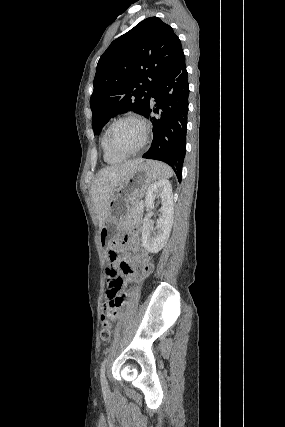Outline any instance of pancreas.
<instances>
[{"label":"pancreas","instance_id":"pancreas-1","mask_svg":"<svg viewBox=\"0 0 285 427\" xmlns=\"http://www.w3.org/2000/svg\"><path fill=\"white\" fill-rule=\"evenodd\" d=\"M140 214H141V210L139 208H133L129 214L128 220L130 221H132L133 219L135 220Z\"/></svg>","mask_w":285,"mask_h":427}]
</instances>
